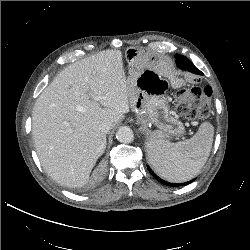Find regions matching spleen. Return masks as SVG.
I'll use <instances>...</instances> for the list:
<instances>
[{
  "instance_id": "spleen-1",
  "label": "spleen",
  "mask_w": 250,
  "mask_h": 250,
  "mask_svg": "<svg viewBox=\"0 0 250 250\" xmlns=\"http://www.w3.org/2000/svg\"><path fill=\"white\" fill-rule=\"evenodd\" d=\"M213 135V126L204 122L197 133L185 141L172 143L152 138L147 144L148 160L162 178L171 182L187 181L196 176L206 163Z\"/></svg>"
}]
</instances>
